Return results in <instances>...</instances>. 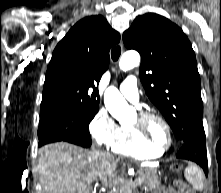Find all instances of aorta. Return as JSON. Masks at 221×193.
<instances>
[{"instance_id":"obj_1","label":"aorta","mask_w":221,"mask_h":193,"mask_svg":"<svg viewBox=\"0 0 221 193\" xmlns=\"http://www.w3.org/2000/svg\"><path fill=\"white\" fill-rule=\"evenodd\" d=\"M140 63V55L136 51H129L123 54L119 61V68L128 71L137 67ZM104 103L109 113L118 121L130 119L134 114V109L114 86H110L104 94Z\"/></svg>"}]
</instances>
